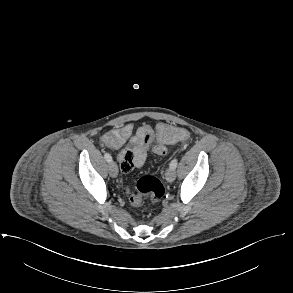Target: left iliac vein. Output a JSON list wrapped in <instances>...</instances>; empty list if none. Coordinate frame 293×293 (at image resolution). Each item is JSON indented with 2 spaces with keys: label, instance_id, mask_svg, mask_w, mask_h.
<instances>
[{
  "label": "left iliac vein",
  "instance_id": "obj_1",
  "mask_svg": "<svg viewBox=\"0 0 293 293\" xmlns=\"http://www.w3.org/2000/svg\"><path fill=\"white\" fill-rule=\"evenodd\" d=\"M165 178L168 182H173L176 178L175 170L172 168H169L165 172Z\"/></svg>",
  "mask_w": 293,
  "mask_h": 293
}]
</instances>
